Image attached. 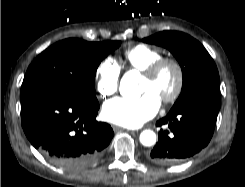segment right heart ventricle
I'll use <instances>...</instances> for the list:
<instances>
[{
	"label": "right heart ventricle",
	"instance_id": "right-heart-ventricle-1",
	"mask_svg": "<svg viewBox=\"0 0 245 187\" xmlns=\"http://www.w3.org/2000/svg\"><path fill=\"white\" fill-rule=\"evenodd\" d=\"M123 56L130 67L144 71L151 63L162 58L163 51L145 44H137L126 48Z\"/></svg>",
	"mask_w": 245,
	"mask_h": 187
}]
</instances>
